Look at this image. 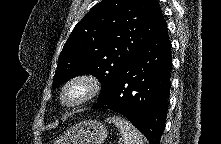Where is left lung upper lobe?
I'll use <instances>...</instances> for the list:
<instances>
[{"label": "left lung upper lobe", "instance_id": "5c2ea615", "mask_svg": "<svg viewBox=\"0 0 221 144\" xmlns=\"http://www.w3.org/2000/svg\"><path fill=\"white\" fill-rule=\"evenodd\" d=\"M163 22L157 0H102L75 26L59 57L56 88L92 74L101 83V99L121 69L154 36Z\"/></svg>", "mask_w": 221, "mask_h": 144}]
</instances>
